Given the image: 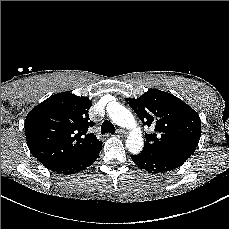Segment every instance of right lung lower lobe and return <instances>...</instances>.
<instances>
[{
  "label": "right lung lower lobe",
  "mask_w": 229,
  "mask_h": 229,
  "mask_svg": "<svg viewBox=\"0 0 229 229\" xmlns=\"http://www.w3.org/2000/svg\"><path fill=\"white\" fill-rule=\"evenodd\" d=\"M102 149V143L96 148L83 153L67 162L60 163L53 167H48L53 172L60 174H74L92 165L97 159L99 152Z\"/></svg>",
  "instance_id": "98d812e1"
}]
</instances>
